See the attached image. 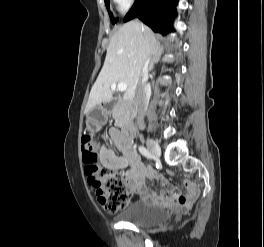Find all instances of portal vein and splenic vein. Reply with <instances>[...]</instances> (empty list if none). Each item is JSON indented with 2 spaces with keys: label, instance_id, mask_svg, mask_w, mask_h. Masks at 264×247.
I'll return each instance as SVG.
<instances>
[{
  "label": "portal vein and splenic vein",
  "instance_id": "obj_1",
  "mask_svg": "<svg viewBox=\"0 0 264 247\" xmlns=\"http://www.w3.org/2000/svg\"><path fill=\"white\" fill-rule=\"evenodd\" d=\"M111 89L113 91H115L116 89H118L119 91L124 92L127 89V84L125 82H119L117 85L115 83H113L111 85Z\"/></svg>",
  "mask_w": 264,
  "mask_h": 247
}]
</instances>
